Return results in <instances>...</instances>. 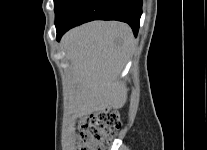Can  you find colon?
Listing matches in <instances>:
<instances>
[{"mask_svg":"<svg viewBox=\"0 0 207 150\" xmlns=\"http://www.w3.org/2000/svg\"><path fill=\"white\" fill-rule=\"evenodd\" d=\"M80 129L79 150H106L121 127L115 110L93 112L83 116Z\"/></svg>","mask_w":207,"mask_h":150,"instance_id":"colon-1","label":"colon"}]
</instances>
